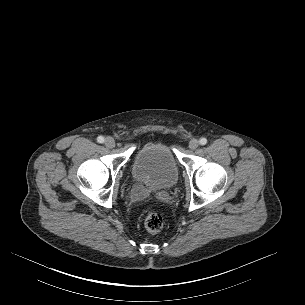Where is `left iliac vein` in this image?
<instances>
[{
    "instance_id": "4c4485c4",
    "label": "left iliac vein",
    "mask_w": 305,
    "mask_h": 305,
    "mask_svg": "<svg viewBox=\"0 0 305 305\" xmlns=\"http://www.w3.org/2000/svg\"><path fill=\"white\" fill-rule=\"evenodd\" d=\"M199 146V141L197 139H191L189 142V148L194 150Z\"/></svg>"
}]
</instances>
